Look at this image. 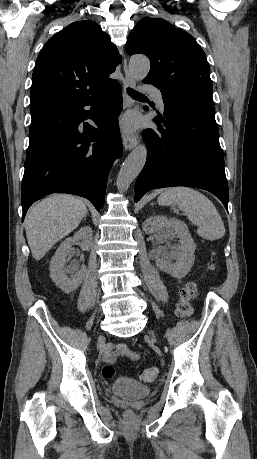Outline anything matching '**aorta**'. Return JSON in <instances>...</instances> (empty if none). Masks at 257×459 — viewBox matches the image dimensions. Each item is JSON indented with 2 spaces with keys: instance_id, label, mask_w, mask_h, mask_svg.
Returning a JSON list of instances; mask_svg holds the SVG:
<instances>
[{
  "instance_id": "762f6f07",
  "label": "aorta",
  "mask_w": 257,
  "mask_h": 459,
  "mask_svg": "<svg viewBox=\"0 0 257 459\" xmlns=\"http://www.w3.org/2000/svg\"><path fill=\"white\" fill-rule=\"evenodd\" d=\"M132 76L137 80L144 79L150 70V61L145 56H133L129 62ZM147 158L145 145L136 147L123 162L117 177V188L121 192L127 191L130 184L141 172Z\"/></svg>"
}]
</instances>
